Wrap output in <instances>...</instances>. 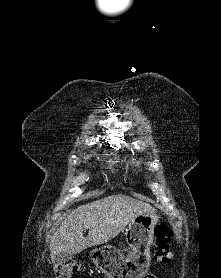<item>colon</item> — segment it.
Returning <instances> with one entry per match:
<instances>
[{
    "label": "colon",
    "instance_id": "1",
    "mask_svg": "<svg viewBox=\"0 0 221 278\" xmlns=\"http://www.w3.org/2000/svg\"><path fill=\"white\" fill-rule=\"evenodd\" d=\"M171 232L165 222H159L154 230L153 246L156 258L161 263H168L171 258ZM79 267L74 262H67L58 265L55 269V278H72L78 271Z\"/></svg>",
    "mask_w": 221,
    "mask_h": 278
}]
</instances>
